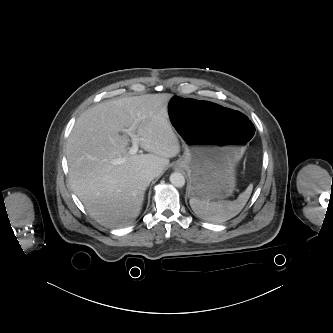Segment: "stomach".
<instances>
[{
  "instance_id": "1",
  "label": "stomach",
  "mask_w": 333,
  "mask_h": 333,
  "mask_svg": "<svg viewBox=\"0 0 333 333\" xmlns=\"http://www.w3.org/2000/svg\"><path fill=\"white\" fill-rule=\"evenodd\" d=\"M167 109L169 122L191 158L188 196L206 201L230 196L241 146L254 135L252 123L228 104L193 97L172 96Z\"/></svg>"
}]
</instances>
